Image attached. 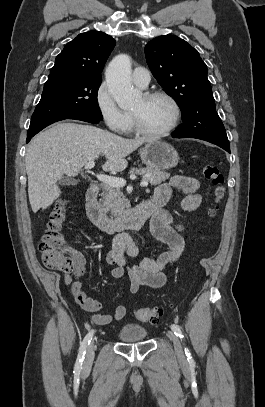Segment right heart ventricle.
<instances>
[{
	"mask_svg": "<svg viewBox=\"0 0 265 407\" xmlns=\"http://www.w3.org/2000/svg\"><path fill=\"white\" fill-rule=\"evenodd\" d=\"M131 127H132V124H131V117H130V123L125 132L129 133L131 131Z\"/></svg>",
	"mask_w": 265,
	"mask_h": 407,
	"instance_id": "obj_1",
	"label": "right heart ventricle"
}]
</instances>
